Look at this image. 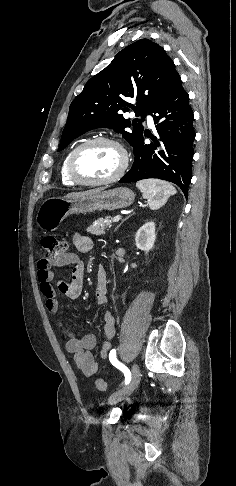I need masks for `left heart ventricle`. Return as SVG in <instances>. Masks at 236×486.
<instances>
[{
  "instance_id": "1",
  "label": "left heart ventricle",
  "mask_w": 236,
  "mask_h": 486,
  "mask_svg": "<svg viewBox=\"0 0 236 486\" xmlns=\"http://www.w3.org/2000/svg\"><path fill=\"white\" fill-rule=\"evenodd\" d=\"M120 151L110 144H95L84 149L76 160L77 172L86 179H104L120 168Z\"/></svg>"
}]
</instances>
